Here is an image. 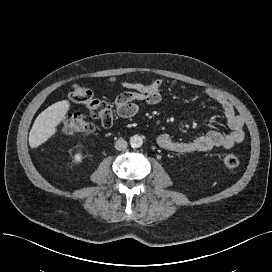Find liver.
<instances>
[{
    "instance_id": "obj_1",
    "label": "liver",
    "mask_w": 272,
    "mask_h": 272,
    "mask_svg": "<svg viewBox=\"0 0 272 272\" xmlns=\"http://www.w3.org/2000/svg\"><path fill=\"white\" fill-rule=\"evenodd\" d=\"M70 109L68 100L58 101L41 112L29 133V145L37 148L51 138L57 131L56 127L65 118Z\"/></svg>"
}]
</instances>
